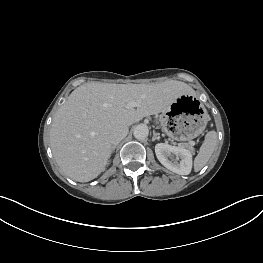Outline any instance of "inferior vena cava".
<instances>
[{
  "label": "inferior vena cava",
  "mask_w": 263,
  "mask_h": 263,
  "mask_svg": "<svg viewBox=\"0 0 263 263\" xmlns=\"http://www.w3.org/2000/svg\"><path fill=\"white\" fill-rule=\"evenodd\" d=\"M127 134H128L127 126L116 127L110 135L111 144L113 146L117 145L123 138L126 137Z\"/></svg>",
  "instance_id": "602c4592"
}]
</instances>
